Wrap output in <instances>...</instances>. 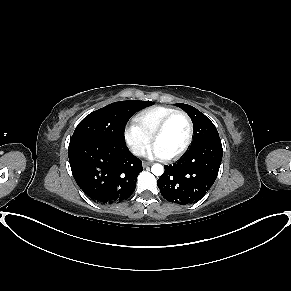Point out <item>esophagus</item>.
Returning <instances> with one entry per match:
<instances>
[{"label":"esophagus","mask_w":291,"mask_h":291,"mask_svg":"<svg viewBox=\"0 0 291 291\" xmlns=\"http://www.w3.org/2000/svg\"><path fill=\"white\" fill-rule=\"evenodd\" d=\"M142 165H143V167H148V166L151 165V163H150V162H145V161H144V162L142 163Z\"/></svg>","instance_id":"obj_1"}]
</instances>
